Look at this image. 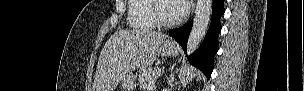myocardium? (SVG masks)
Wrapping results in <instances>:
<instances>
[{
	"label": "myocardium",
	"mask_w": 304,
	"mask_h": 91,
	"mask_svg": "<svg viewBox=\"0 0 304 91\" xmlns=\"http://www.w3.org/2000/svg\"><path fill=\"white\" fill-rule=\"evenodd\" d=\"M163 1H173V0H152L151 2L150 13L156 25L161 28H168L180 24L184 19L185 14H182L180 17L174 20H165L164 18L161 17L160 3Z\"/></svg>",
	"instance_id": "myocardium-1"
}]
</instances>
